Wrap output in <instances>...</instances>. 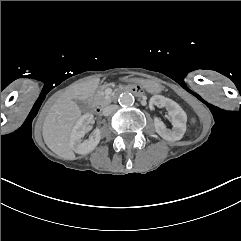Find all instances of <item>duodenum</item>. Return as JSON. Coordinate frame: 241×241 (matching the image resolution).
<instances>
[{
    "label": "duodenum",
    "instance_id": "obj_1",
    "mask_svg": "<svg viewBox=\"0 0 241 241\" xmlns=\"http://www.w3.org/2000/svg\"><path fill=\"white\" fill-rule=\"evenodd\" d=\"M120 91L121 92H127V93H133V94L138 95V96L142 95L141 88L136 86V85L126 86V87L122 88ZM100 112H101V108L96 107L95 113L99 114Z\"/></svg>",
    "mask_w": 241,
    "mask_h": 241
}]
</instances>
